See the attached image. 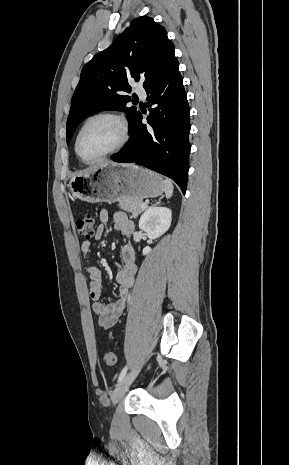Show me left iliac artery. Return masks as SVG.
<instances>
[{
  "label": "left iliac artery",
  "mask_w": 289,
  "mask_h": 465,
  "mask_svg": "<svg viewBox=\"0 0 289 465\" xmlns=\"http://www.w3.org/2000/svg\"><path fill=\"white\" fill-rule=\"evenodd\" d=\"M127 369H128L127 366H125V367L122 369V371H121V373H120V375H119V377H118V382H120V381L125 377V375H126V373H127Z\"/></svg>",
  "instance_id": "left-iliac-artery-1"
}]
</instances>
